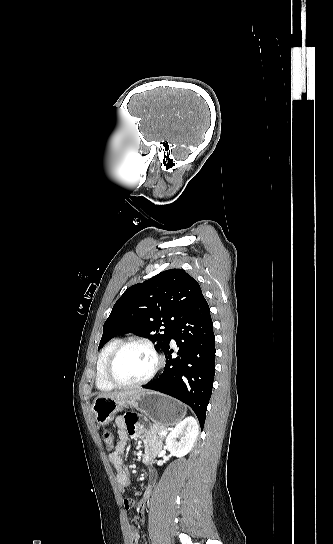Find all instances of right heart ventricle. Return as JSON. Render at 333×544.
I'll return each mask as SVG.
<instances>
[{
	"instance_id": "obj_1",
	"label": "right heart ventricle",
	"mask_w": 333,
	"mask_h": 544,
	"mask_svg": "<svg viewBox=\"0 0 333 544\" xmlns=\"http://www.w3.org/2000/svg\"><path fill=\"white\" fill-rule=\"evenodd\" d=\"M122 342L120 338H113L108 341L99 352L97 362H96V378L95 383L99 390L101 391H111L115 387L111 385L105 377V366L108 360V357L116 346Z\"/></svg>"
}]
</instances>
